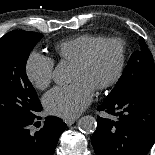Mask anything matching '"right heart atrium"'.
Listing matches in <instances>:
<instances>
[{"instance_id": "d8ad5b80", "label": "right heart atrium", "mask_w": 155, "mask_h": 155, "mask_svg": "<svg viewBox=\"0 0 155 155\" xmlns=\"http://www.w3.org/2000/svg\"><path fill=\"white\" fill-rule=\"evenodd\" d=\"M54 60L38 52H31L25 63V73L29 82L37 89L43 90L53 80Z\"/></svg>"}]
</instances>
